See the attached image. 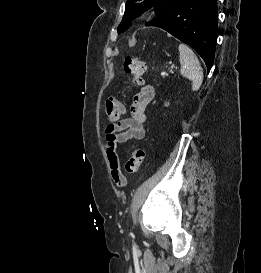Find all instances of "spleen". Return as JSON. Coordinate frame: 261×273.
<instances>
[{
  "instance_id": "spleen-1",
  "label": "spleen",
  "mask_w": 261,
  "mask_h": 273,
  "mask_svg": "<svg viewBox=\"0 0 261 273\" xmlns=\"http://www.w3.org/2000/svg\"><path fill=\"white\" fill-rule=\"evenodd\" d=\"M179 52L180 73L192 81V90L196 91L201 87L203 82V70L200 62L193 50L183 43L179 45Z\"/></svg>"
}]
</instances>
